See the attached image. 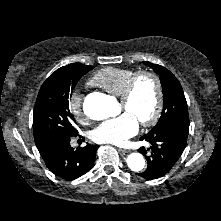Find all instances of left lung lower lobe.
I'll list each match as a JSON object with an SVG mask.
<instances>
[{
    "mask_svg": "<svg viewBox=\"0 0 221 221\" xmlns=\"http://www.w3.org/2000/svg\"><path fill=\"white\" fill-rule=\"evenodd\" d=\"M189 120H178L158 130L150 131L140 138L151 144L147 149L138 151L147 160V169L138 176L157 179L166 175L182 155L189 132Z\"/></svg>",
    "mask_w": 221,
    "mask_h": 221,
    "instance_id": "1",
    "label": "left lung lower lobe"
}]
</instances>
